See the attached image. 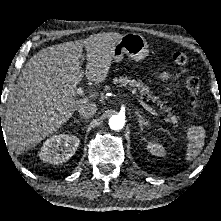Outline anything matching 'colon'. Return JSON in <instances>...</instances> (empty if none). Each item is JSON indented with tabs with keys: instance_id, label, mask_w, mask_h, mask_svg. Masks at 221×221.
Masks as SVG:
<instances>
[{
	"instance_id": "obj_1",
	"label": "colon",
	"mask_w": 221,
	"mask_h": 221,
	"mask_svg": "<svg viewBox=\"0 0 221 221\" xmlns=\"http://www.w3.org/2000/svg\"><path fill=\"white\" fill-rule=\"evenodd\" d=\"M173 61L181 71L188 72V57L182 52H177L173 55ZM187 90L190 94L191 114L195 116L201 106L200 100V83L193 75H187L185 79Z\"/></svg>"
}]
</instances>
